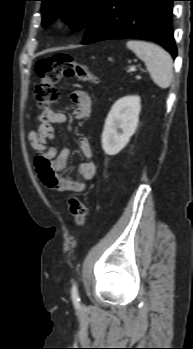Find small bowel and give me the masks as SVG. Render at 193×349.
<instances>
[{"instance_id":"c3829d8e","label":"small bowel","mask_w":193,"mask_h":349,"mask_svg":"<svg viewBox=\"0 0 193 349\" xmlns=\"http://www.w3.org/2000/svg\"><path fill=\"white\" fill-rule=\"evenodd\" d=\"M75 104L73 112L77 120H86L92 112V97L85 90H76L70 95ZM65 114L61 112H43L37 118L36 130H29L28 142L34 152V163L40 181L50 189L62 192H81L84 182L96 174V165L91 159L92 149L88 138H79V149L84 160L74 169L69 166L70 150H58L48 143L55 139V126L64 123Z\"/></svg>"}]
</instances>
